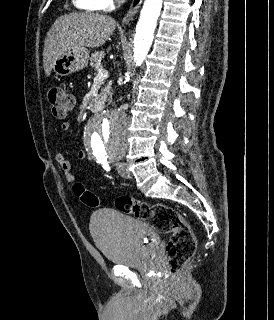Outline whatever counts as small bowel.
Masks as SVG:
<instances>
[{
    "label": "small bowel",
    "mask_w": 274,
    "mask_h": 320,
    "mask_svg": "<svg viewBox=\"0 0 274 320\" xmlns=\"http://www.w3.org/2000/svg\"><path fill=\"white\" fill-rule=\"evenodd\" d=\"M69 128H70V124L67 122H63L60 125V129L62 131H68ZM54 158H55V161L57 162V164L59 165L60 169L62 170L65 179L68 182H74L75 176L72 172L71 163L64 157V155L62 153H56ZM77 158L80 161L84 160L86 158V152L84 150H80L77 153Z\"/></svg>",
    "instance_id": "1"
}]
</instances>
